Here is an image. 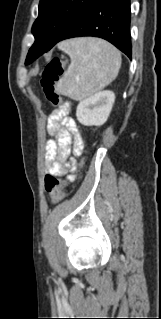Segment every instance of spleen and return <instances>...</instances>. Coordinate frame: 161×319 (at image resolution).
I'll use <instances>...</instances> for the list:
<instances>
[{
    "mask_svg": "<svg viewBox=\"0 0 161 319\" xmlns=\"http://www.w3.org/2000/svg\"><path fill=\"white\" fill-rule=\"evenodd\" d=\"M58 48L71 58L56 91L81 101L109 85L118 75L121 55L110 43L97 38H76L63 41Z\"/></svg>",
    "mask_w": 161,
    "mask_h": 319,
    "instance_id": "3e777b00",
    "label": "spleen"
}]
</instances>
